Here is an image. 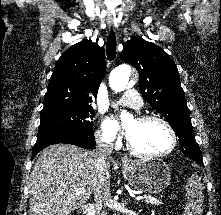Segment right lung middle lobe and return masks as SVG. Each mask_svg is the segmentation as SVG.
<instances>
[{
  "label": "right lung middle lobe",
  "mask_w": 221,
  "mask_h": 215,
  "mask_svg": "<svg viewBox=\"0 0 221 215\" xmlns=\"http://www.w3.org/2000/svg\"><path fill=\"white\" fill-rule=\"evenodd\" d=\"M92 107H80L42 114L38 137L62 132L92 130Z\"/></svg>",
  "instance_id": "obj_1"
}]
</instances>
